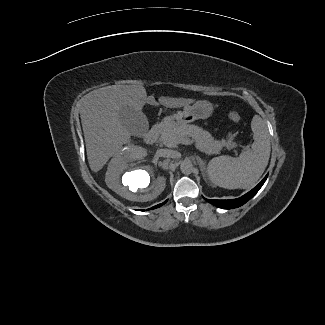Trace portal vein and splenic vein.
<instances>
[{
	"label": "portal vein and splenic vein",
	"instance_id": "portal-vein-and-splenic-vein-1",
	"mask_svg": "<svg viewBox=\"0 0 325 325\" xmlns=\"http://www.w3.org/2000/svg\"><path fill=\"white\" fill-rule=\"evenodd\" d=\"M185 144V145H190L193 143V141H191L190 139H178V138H173L172 139V144ZM202 152H205L206 154H210L209 152L205 151V150H201Z\"/></svg>",
	"mask_w": 325,
	"mask_h": 325
}]
</instances>
